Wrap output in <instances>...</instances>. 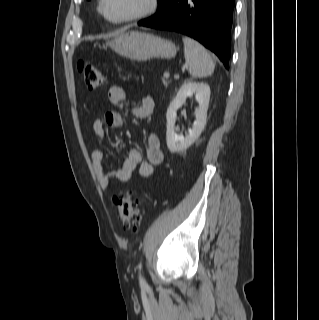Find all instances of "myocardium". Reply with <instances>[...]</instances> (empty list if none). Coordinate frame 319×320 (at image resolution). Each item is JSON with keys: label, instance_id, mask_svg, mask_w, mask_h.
Returning <instances> with one entry per match:
<instances>
[{"label": "myocardium", "instance_id": "f54148a6", "mask_svg": "<svg viewBox=\"0 0 319 320\" xmlns=\"http://www.w3.org/2000/svg\"><path fill=\"white\" fill-rule=\"evenodd\" d=\"M105 3H106V0H99V6H98L99 12L105 18L106 21H108L112 24H117V25L126 24V23H130V22H134V21L148 18V17L154 15L160 6V0H149V5L146 9H144L140 12H137L133 15H130L128 17L115 20V19L110 18L107 15V13L105 11Z\"/></svg>", "mask_w": 319, "mask_h": 320}]
</instances>
